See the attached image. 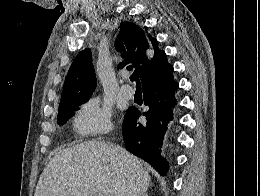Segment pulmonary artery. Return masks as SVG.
<instances>
[{"label": "pulmonary artery", "instance_id": "e3ab8cb5", "mask_svg": "<svg viewBox=\"0 0 260 196\" xmlns=\"http://www.w3.org/2000/svg\"><path fill=\"white\" fill-rule=\"evenodd\" d=\"M120 94L126 99H132L134 97L135 90L130 85H124L120 89Z\"/></svg>", "mask_w": 260, "mask_h": 196}]
</instances>
